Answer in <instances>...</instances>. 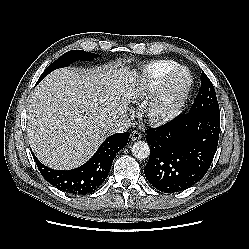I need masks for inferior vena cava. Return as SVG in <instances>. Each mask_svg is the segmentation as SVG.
Instances as JSON below:
<instances>
[{"label": "inferior vena cava", "mask_w": 249, "mask_h": 249, "mask_svg": "<svg viewBox=\"0 0 249 249\" xmlns=\"http://www.w3.org/2000/svg\"><path fill=\"white\" fill-rule=\"evenodd\" d=\"M131 126L130 119L126 116L118 117L109 127L111 133H123L126 132Z\"/></svg>", "instance_id": "obj_1"}]
</instances>
